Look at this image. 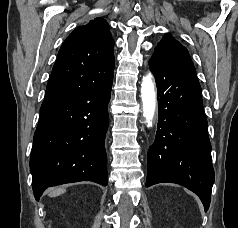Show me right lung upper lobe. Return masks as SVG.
Here are the masks:
<instances>
[{"label": "right lung upper lobe", "mask_w": 238, "mask_h": 228, "mask_svg": "<svg viewBox=\"0 0 238 228\" xmlns=\"http://www.w3.org/2000/svg\"><path fill=\"white\" fill-rule=\"evenodd\" d=\"M114 40L103 18L76 28L61 46L44 99L81 91L114 72Z\"/></svg>", "instance_id": "obj_1"}]
</instances>
